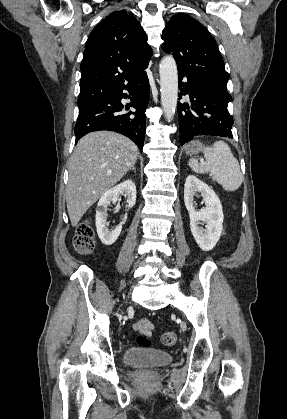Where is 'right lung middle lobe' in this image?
Returning a JSON list of instances; mask_svg holds the SVG:
<instances>
[{
  "mask_svg": "<svg viewBox=\"0 0 287 419\" xmlns=\"http://www.w3.org/2000/svg\"><path fill=\"white\" fill-rule=\"evenodd\" d=\"M85 107H80L79 106V112L82 111Z\"/></svg>",
  "mask_w": 287,
  "mask_h": 419,
  "instance_id": "dd1d6c3e",
  "label": "right lung middle lobe"
}]
</instances>
